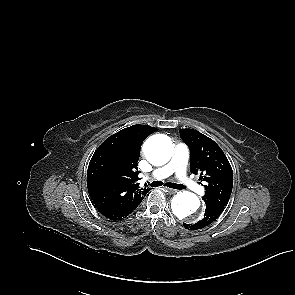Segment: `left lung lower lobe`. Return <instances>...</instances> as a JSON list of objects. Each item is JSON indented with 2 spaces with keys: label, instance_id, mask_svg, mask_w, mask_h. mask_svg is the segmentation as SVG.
<instances>
[{
  "label": "left lung lower lobe",
  "instance_id": "0a47b994",
  "mask_svg": "<svg viewBox=\"0 0 295 295\" xmlns=\"http://www.w3.org/2000/svg\"><path fill=\"white\" fill-rule=\"evenodd\" d=\"M223 210H224L223 207L209 205V206L206 207L204 218L202 220L198 221L195 224H185V223H183V226L186 229H189V230L201 229L203 227L208 226L213 221H215L220 216V214L223 212Z\"/></svg>",
  "mask_w": 295,
  "mask_h": 295
}]
</instances>
